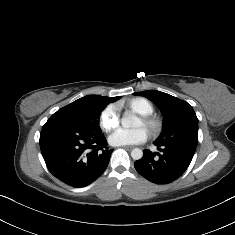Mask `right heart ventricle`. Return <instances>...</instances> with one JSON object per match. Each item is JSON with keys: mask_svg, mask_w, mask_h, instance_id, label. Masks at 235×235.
Returning <instances> with one entry per match:
<instances>
[{"mask_svg": "<svg viewBox=\"0 0 235 235\" xmlns=\"http://www.w3.org/2000/svg\"><path fill=\"white\" fill-rule=\"evenodd\" d=\"M126 106L141 116H149L154 111L152 102L143 97H134L128 99L126 101Z\"/></svg>", "mask_w": 235, "mask_h": 235, "instance_id": "obj_1", "label": "right heart ventricle"}]
</instances>
